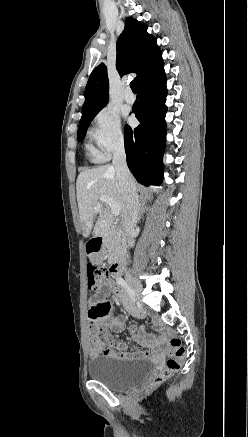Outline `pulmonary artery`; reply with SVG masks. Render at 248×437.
Here are the masks:
<instances>
[{"label": "pulmonary artery", "instance_id": "e3ab8cb5", "mask_svg": "<svg viewBox=\"0 0 248 437\" xmlns=\"http://www.w3.org/2000/svg\"><path fill=\"white\" fill-rule=\"evenodd\" d=\"M124 99L129 104H132L135 101V96L129 88L126 89Z\"/></svg>", "mask_w": 248, "mask_h": 437}]
</instances>
